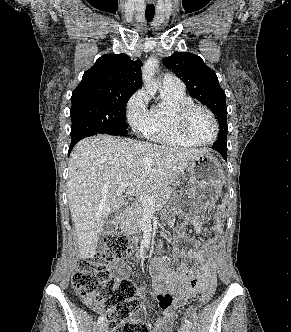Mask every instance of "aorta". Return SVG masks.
<instances>
[{"instance_id":"aorta-1","label":"aorta","mask_w":291,"mask_h":332,"mask_svg":"<svg viewBox=\"0 0 291 332\" xmlns=\"http://www.w3.org/2000/svg\"><path fill=\"white\" fill-rule=\"evenodd\" d=\"M158 65V61L154 57H150L143 65L142 68V80L149 94H154L158 85L155 82L154 75Z\"/></svg>"}]
</instances>
